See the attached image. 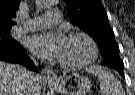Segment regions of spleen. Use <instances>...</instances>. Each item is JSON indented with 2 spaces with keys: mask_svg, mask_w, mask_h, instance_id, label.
Returning a JSON list of instances; mask_svg holds the SVG:
<instances>
[{
  "mask_svg": "<svg viewBox=\"0 0 135 95\" xmlns=\"http://www.w3.org/2000/svg\"><path fill=\"white\" fill-rule=\"evenodd\" d=\"M85 70L97 77L101 95H125L122 84L110 71L100 66H91Z\"/></svg>",
  "mask_w": 135,
  "mask_h": 95,
  "instance_id": "obj_1",
  "label": "spleen"
}]
</instances>
